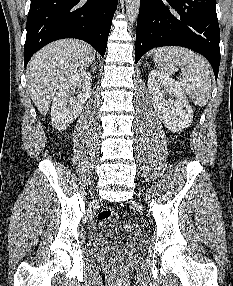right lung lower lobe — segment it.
Masks as SVG:
<instances>
[{"instance_id": "right-lung-lower-lobe-1", "label": "right lung lower lobe", "mask_w": 233, "mask_h": 286, "mask_svg": "<svg viewBox=\"0 0 233 286\" xmlns=\"http://www.w3.org/2000/svg\"><path fill=\"white\" fill-rule=\"evenodd\" d=\"M118 0H31L24 46V67L46 44L77 38L105 55Z\"/></svg>"}]
</instances>
